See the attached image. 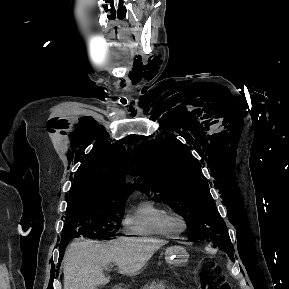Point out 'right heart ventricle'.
Here are the masks:
<instances>
[{
	"label": "right heart ventricle",
	"instance_id": "1",
	"mask_svg": "<svg viewBox=\"0 0 289 289\" xmlns=\"http://www.w3.org/2000/svg\"><path fill=\"white\" fill-rule=\"evenodd\" d=\"M168 213L166 208L158 205L148 196H143L126 209L123 225L133 235L173 238L179 233L168 224Z\"/></svg>",
	"mask_w": 289,
	"mask_h": 289
}]
</instances>
